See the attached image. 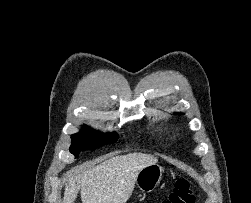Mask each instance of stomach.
I'll list each match as a JSON object with an SVG mask.
<instances>
[{
	"instance_id": "stomach-1",
	"label": "stomach",
	"mask_w": 251,
	"mask_h": 203,
	"mask_svg": "<svg viewBox=\"0 0 251 203\" xmlns=\"http://www.w3.org/2000/svg\"><path fill=\"white\" fill-rule=\"evenodd\" d=\"M163 168L158 164H152L141 169L136 178V185L144 193L152 192L160 183Z\"/></svg>"
}]
</instances>
